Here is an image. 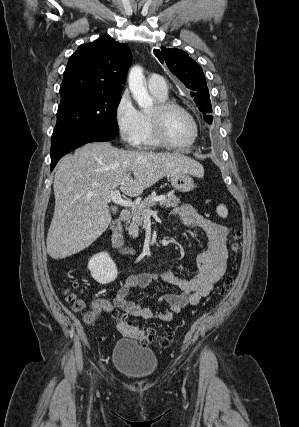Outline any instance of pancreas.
<instances>
[{
	"label": "pancreas",
	"mask_w": 299,
	"mask_h": 427,
	"mask_svg": "<svg viewBox=\"0 0 299 427\" xmlns=\"http://www.w3.org/2000/svg\"><path fill=\"white\" fill-rule=\"evenodd\" d=\"M156 195H150L141 201L136 207L132 208L131 222L126 226V230L129 235L136 238L138 237L139 227L143 224V220L146 214V210H150L156 203L152 199ZM180 203V199L176 197L172 192L169 193L163 200L159 201L161 206L166 208L176 207Z\"/></svg>",
	"instance_id": "1"
}]
</instances>
